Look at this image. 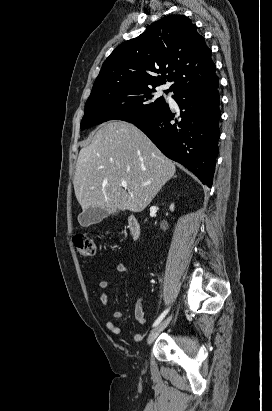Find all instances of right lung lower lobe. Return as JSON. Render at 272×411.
I'll use <instances>...</instances> for the list:
<instances>
[{"label": "right lung lower lobe", "instance_id": "right-lung-lower-lobe-1", "mask_svg": "<svg viewBox=\"0 0 272 411\" xmlns=\"http://www.w3.org/2000/svg\"><path fill=\"white\" fill-rule=\"evenodd\" d=\"M218 86L216 77L204 86L180 90L173 96L178 113L167 104L153 116L132 122L165 156L184 165L208 187L218 156Z\"/></svg>", "mask_w": 272, "mask_h": 411}]
</instances>
